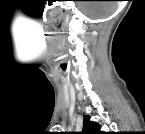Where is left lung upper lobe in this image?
I'll return each mask as SVG.
<instances>
[{
  "mask_svg": "<svg viewBox=\"0 0 145 134\" xmlns=\"http://www.w3.org/2000/svg\"><path fill=\"white\" fill-rule=\"evenodd\" d=\"M100 126L96 122L90 121L88 116L84 117L83 134H101Z\"/></svg>",
  "mask_w": 145,
  "mask_h": 134,
  "instance_id": "left-lung-upper-lobe-1",
  "label": "left lung upper lobe"
}]
</instances>
